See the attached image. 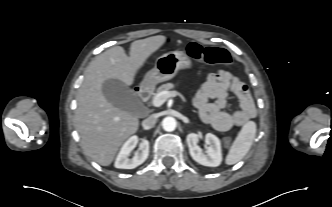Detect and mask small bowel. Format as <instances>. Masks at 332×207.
Here are the masks:
<instances>
[{
  "mask_svg": "<svg viewBox=\"0 0 332 207\" xmlns=\"http://www.w3.org/2000/svg\"><path fill=\"white\" fill-rule=\"evenodd\" d=\"M229 93L236 95L240 103V108L233 113L224 110ZM193 103L201 119L219 132L240 126L255 116V105L248 86L223 70L207 76L203 87L194 96Z\"/></svg>",
  "mask_w": 332,
  "mask_h": 207,
  "instance_id": "obj_1",
  "label": "small bowel"
}]
</instances>
